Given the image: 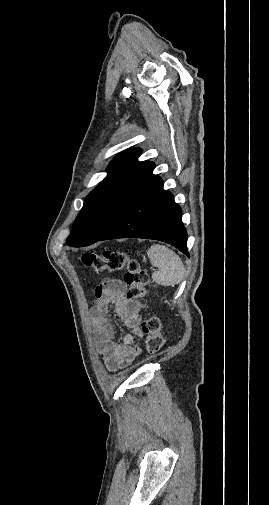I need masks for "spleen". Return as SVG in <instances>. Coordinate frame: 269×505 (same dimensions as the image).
Masks as SVG:
<instances>
[{
  "instance_id": "obj_1",
  "label": "spleen",
  "mask_w": 269,
  "mask_h": 505,
  "mask_svg": "<svg viewBox=\"0 0 269 505\" xmlns=\"http://www.w3.org/2000/svg\"><path fill=\"white\" fill-rule=\"evenodd\" d=\"M150 262L158 270L152 274V279L162 286L179 284L185 275V267L180 257L164 245L153 244L147 251Z\"/></svg>"
}]
</instances>
